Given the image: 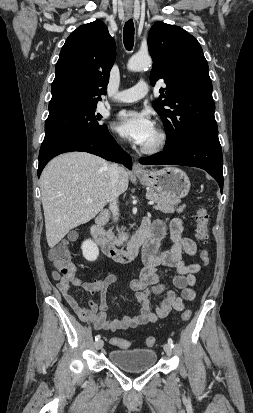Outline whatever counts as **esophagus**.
<instances>
[{
	"mask_svg": "<svg viewBox=\"0 0 253 413\" xmlns=\"http://www.w3.org/2000/svg\"><path fill=\"white\" fill-rule=\"evenodd\" d=\"M126 15H127V17H131L132 12H131V11H128V12L126 13ZM132 171H133L134 173H142L144 170H143V168H142L138 163H134L133 168H132Z\"/></svg>",
	"mask_w": 253,
	"mask_h": 413,
	"instance_id": "obj_1",
	"label": "esophagus"
}]
</instances>
